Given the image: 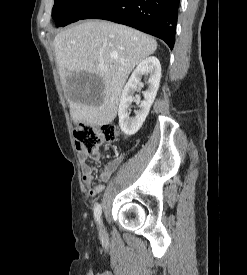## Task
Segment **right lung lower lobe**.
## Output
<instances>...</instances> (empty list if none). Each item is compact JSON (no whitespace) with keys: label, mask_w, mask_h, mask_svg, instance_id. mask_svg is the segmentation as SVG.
<instances>
[{"label":"right lung lower lobe","mask_w":247,"mask_h":275,"mask_svg":"<svg viewBox=\"0 0 247 275\" xmlns=\"http://www.w3.org/2000/svg\"><path fill=\"white\" fill-rule=\"evenodd\" d=\"M179 0H100L81 17L104 19L131 26L164 40L175 42Z\"/></svg>","instance_id":"right-lung-lower-lobe-1"}]
</instances>
